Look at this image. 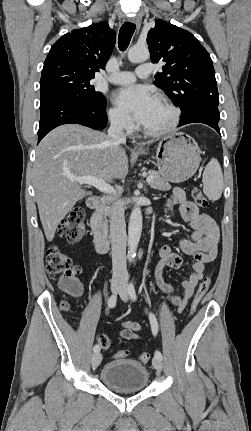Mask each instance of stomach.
I'll return each mask as SVG.
<instances>
[{"label": "stomach", "instance_id": "0dacf381", "mask_svg": "<svg viewBox=\"0 0 251 431\" xmlns=\"http://www.w3.org/2000/svg\"><path fill=\"white\" fill-rule=\"evenodd\" d=\"M156 161L161 177L172 183L184 182L191 178L199 167L200 149L191 137L181 132L173 133L159 141Z\"/></svg>", "mask_w": 251, "mask_h": 431}]
</instances>
